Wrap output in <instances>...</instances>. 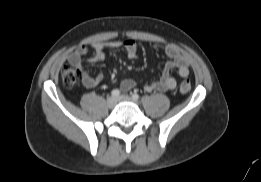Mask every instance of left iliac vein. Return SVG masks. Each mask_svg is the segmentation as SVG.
<instances>
[{"label": "left iliac vein", "mask_w": 261, "mask_h": 182, "mask_svg": "<svg viewBox=\"0 0 261 182\" xmlns=\"http://www.w3.org/2000/svg\"><path fill=\"white\" fill-rule=\"evenodd\" d=\"M117 101H127V102H133L136 103V100L132 99L130 96L128 95H121L117 98Z\"/></svg>", "instance_id": "obj_1"}]
</instances>
